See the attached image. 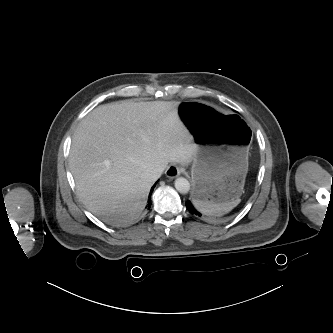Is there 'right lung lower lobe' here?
Masks as SVG:
<instances>
[{
  "mask_svg": "<svg viewBox=\"0 0 333 333\" xmlns=\"http://www.w3.org/2000/svg\"><path fill=\"white\" fill-rule=\"evenodd\" d=\"M156 183L153 185V187L151 188V191H153L154 187H155ZM152 192H150V195L149 197L151 196ZM150 206H151V200L149 199L148 200V209H150Z\"/></svg>",
  "mask_w": 333,
  "mask_h": 333,
  "instance_id": "1",
  "label": "right lung lower lobe"
}]
</instances>
